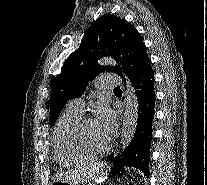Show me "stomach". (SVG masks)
Returning <instances> with one entry per match:
<instances>
[{
	"label": "stomach",
	"mask_w": 207,
	"mask_h": 185,
	"mask_svg": "<svg viewBox=\"0 0 207 185\" xmlns=\"http://www.w3.org/2000/svg\"><path fill=\"white\" fill-rule=\"evenodd\" d=\"M68 183L63 182V181H57L54 183V185H67Z\"/></svg>",
	"instance_id": "stomach-1"
}]
</instances>
